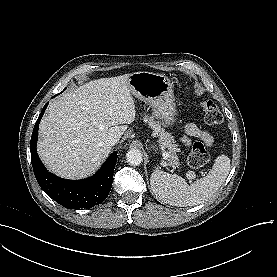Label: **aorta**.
Instances as JSON below:
<instances>
[{
	"instance_id": "1",
	"label": "aorta",
	"mask_w": 277,
	"mask_h": 277,
	"mask_svg": "<svg viewBox=\"0 0 277 277\" xmlns=\"http://www.w3.org/2000/svg\"><path fill=\"white\" fill-rule=\"evenodd\" d=\"M126 161L129 165L138 166L143 161V154L137 148H132L126 153Z\"/></svg>"
}]
</instances>
